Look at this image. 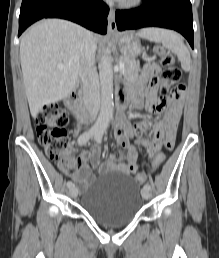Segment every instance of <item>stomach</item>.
<instances>
[{
  "label": "stomach",
  "instance_id": "1",
  "mask_svg": "<svg viewBox=\"0 0 219 258\" xmlns=\"http://www.w3.org/2000/svg\"><path fill=\"white\" fill-rule=\"evenodd\" d=\"M120 51L124 57L136 58L142 51L140 42L133 33H125L119 40Z\"/></svg>",
  "mask_w": 219,
  "mask_h": 258
}]
</instances>
